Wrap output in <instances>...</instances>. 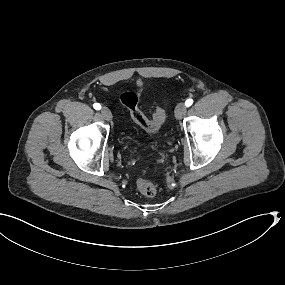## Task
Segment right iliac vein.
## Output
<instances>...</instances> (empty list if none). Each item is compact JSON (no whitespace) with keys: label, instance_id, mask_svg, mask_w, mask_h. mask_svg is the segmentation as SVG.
<instances>
[{"label":"right iliac vein","instance_id":"1","mask_svg":"<svg viewBox=\"0 0 285 285\" xmlns=\"http://www.w3.org/2000/svg\"><path fill=\"white\" fill-rule=\"evenodd\" d=\"M101 114H102V116H103V118L105 120H107V121H111L112 120V114H111V112H110V110L108 108L103 107L101 109Z\"/></svg>","mask_w":285,"mask_h":285}]
</instances>
